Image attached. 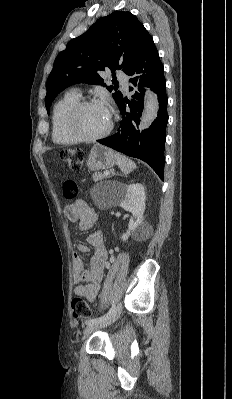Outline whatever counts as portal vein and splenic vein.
Instances as JSON below:
<instances>
[{
  "label": "portal vein and splenic vein",
  "instance_id": "18ae733b",
  "mask_svg": "<svg viewBox=\"0 0 232 399\" xmlns=\"http://www.w3.org/2000/svg\"><path fill=\"white\" fill-rule=\"evenodd\" d=\"M105 176H109V172H104Z\"/></svg>",
  "mask_w": 232,
  "mask_h": 399
}]
</instances>
